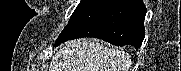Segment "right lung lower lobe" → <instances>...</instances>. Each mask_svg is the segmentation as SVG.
<instances>
[{"mask_svg":"<svg viewBox=\"0 0 181 71\" xmlns=\"http://www.w3.org/2000/svg\"><path fill=\"white\" fill-rule=\"evenodd\" d=\"M145 14L142 0H95L67 24L56 45L76 38L95 37L138 50L145 37Z\"/></svg>","mask_w":181,"mask_h":71,"instance_id":"98d812e1","label":"right lung lower lobe"}]
</instances>
